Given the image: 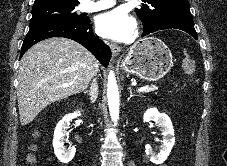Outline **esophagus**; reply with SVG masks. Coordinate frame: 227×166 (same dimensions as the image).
<instances>
[{"label": "esophagus", "instance_id": "34e87169", "mask_svg": "<svg viewBox=\"0 0 227 166\" xmlns=\"http://www.w3.org/2000/svg\"><path fill=\"white\" fill-rule=\"evenodd\" d=\"M109 47L111 49L113 57H116L121 51V47L116 44H109Z\"/></svg>", "mask_w": 227, "mask_h": 166}]
</instances>
